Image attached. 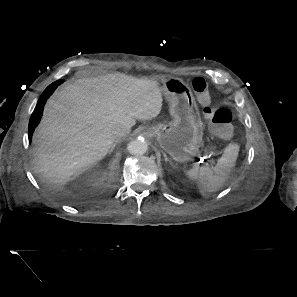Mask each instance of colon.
<instances>
[{"instance_id": "1", "label": "colon", "mask_w": 297, "mask_h": 297, "mask_svg": "<svg viewBox=\"0 0 297 297\" xmlns=\"http://www.w3.org/2000/svg\"><path fill=\"white\" fill-rule=\"evenodd\" d=\"M192 88L208 118L211 130L220 139L227 140L233 135L232 114L227 108H216L212 105L210 87L203 78H195Z\"/></svg>"}]
</instances>
